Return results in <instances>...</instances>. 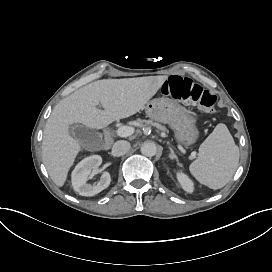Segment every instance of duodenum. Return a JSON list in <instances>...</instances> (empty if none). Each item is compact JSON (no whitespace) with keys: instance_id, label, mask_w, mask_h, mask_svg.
I'll return each mask as SVG.
<instances>
[{"instance_id":"1","label":"duodenum","mask_w":272,"mask_h":272,"mask_svg":"<svg viewBox=\"0 0 272 272\" xmlns=\"http://www.w3.org/2000/svg\"><path fill=\"white\" fill-rule=\"evenodd\" d=\"M110 144V137H107V141H106V146H108Z\"/></svg>"}]
</instances>
